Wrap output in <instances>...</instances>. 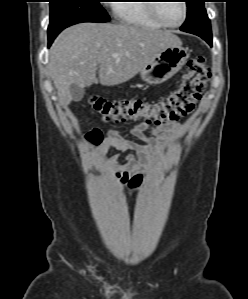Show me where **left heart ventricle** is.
<instances>
[{
    "label": "left heart ventricle",
    "instance_id": "1",
    "mask_svg": "<svg viewBox=\"0 0 248 299\" xmlns=\"http://www.w3.org/2000/svg\"><path fill=\"white\" fill-rule=\"evenodd\" d=\"M159 13L170 24H177L183 17L181 1H166L159 5Z\"/></svg>",
    "mask_w": 248,
    "mask_h": 299
}]
</instances>
